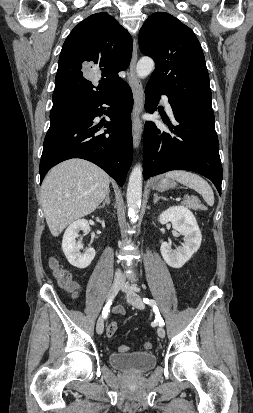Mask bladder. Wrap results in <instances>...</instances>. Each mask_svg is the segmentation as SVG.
Instances as JSON below:
<instances>
[{
	"instance_id": "bladder-1",
	"label": "bladder",
	"mask_w": 253,
	"mask_h": 413,
	"mask_svg": "<svg viewBox=\"0 0 253 413\" xmlns=\"http://www.w3.org/2000/svg\"><path fill=\"white\" fill-rule=\"evenodd\" d=\"M109 363L112 367L122 371L144 373L155 367L157 357L152 352L144 351L111 353Z\"/></svg>"
}]
</instances>
